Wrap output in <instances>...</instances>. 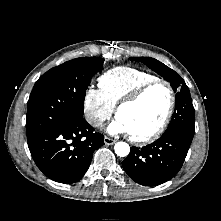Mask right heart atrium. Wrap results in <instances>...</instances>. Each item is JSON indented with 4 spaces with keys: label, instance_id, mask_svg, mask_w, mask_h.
I'll return each instance as SVG.
<instances>
[{
    "label": "right heart atrium",
    "instance_id": "d8ad5b80",
    "mask_svg": "<svg viewBox=\"0 0 221 221\" xmlns=\"http://www.w3.org/2000/svg\"><path fill=\"white\" fill-rule=\"evenodd\" d=\"M83 111L86 121L93 128H100L111 117L113 107L99 89L89 87L84 96Z\"/></svg>",
    "mask_w": 221,
    "mask_h": 221
}]
</instances>
